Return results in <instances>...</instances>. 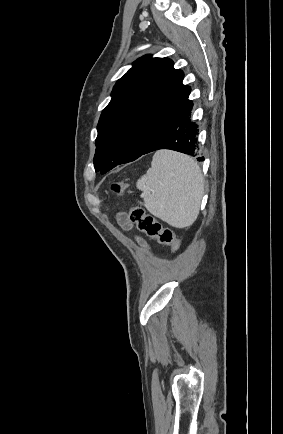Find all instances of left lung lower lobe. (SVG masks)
<instances>
[{
	"instance_id": "left-lung-lower-lobe-1",
	"label": "left lung lower lobe",
	"mask_w": 283,
	"mask_h": 434,
	"mask_svg": "<svg viewBox=\"0 0 283 434\" xmlns=\"http://www.w3.org/2000/svg\"><path fill=\"white\" fill-rule=\"evenodd\" d=\"M193 103L188 98L166 119L143 154L170 149L195 156L198 128L190 119ZM142 154V155H143ZM198 161L204 160L198 157Z\"/></svg>"
}]
</instances>
